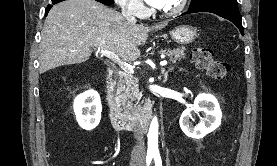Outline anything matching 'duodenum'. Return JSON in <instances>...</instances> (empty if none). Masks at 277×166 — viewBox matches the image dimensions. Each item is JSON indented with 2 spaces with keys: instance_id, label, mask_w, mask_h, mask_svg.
I'll return each instance as SVG.
<instances>
[{
  "instance_id": "duodenum-1",
  "label": "duodenum",
  "mask_w": 277,
  "mask_h": 166,
  "mask_svg": "<svg viewBox=\"0 0 277 166\" xmlns=\"http://www.w3.org/2000/svg\"><path fill=\"white\" fill-rule=\"evenodd\" d=\"M110 73L111 72L109 70L102 86L103 100L110 122L117 130H136L145 132L148 128L152 115L151 101L144 106L143 110L139 114H132L122 110L111 96L108 89V79L110 77Z\"/></svg>"
}]
</instances>
